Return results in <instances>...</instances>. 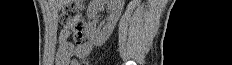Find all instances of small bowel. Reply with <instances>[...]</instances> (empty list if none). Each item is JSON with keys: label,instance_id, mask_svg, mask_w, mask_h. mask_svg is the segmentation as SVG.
<instances>
[{"label": "small bowel", "instance_id": "c3829d8e", "mask_svg": "<svg viewBox=\"0 0 232 65\" xmlns=\"http://www.w3.org/2000/svg\"><path fill=\"white\" fill-rule=\"evenodd\" d=\"M68 32L62 31L61 33V44L59 47V60L65 64L77 65V61L74 57H85L89 54L92 49V44L90 42H85L84 44L74 47L71 43L67 42L65 39Z\"/></svg>", "mask_w": 232, "mask_h": 65}]
</instances>
